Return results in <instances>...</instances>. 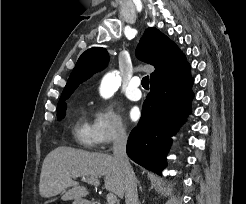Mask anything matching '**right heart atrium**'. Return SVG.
I'll return each instance as SVG.
<instances>
[{"label": "right heart atrium", "mask_w": 246, "mask_h": 204, "mask_svg": "<svg viewBox=\"0 0 246 204\" xmlns=\"http://www.w3.org/2000/svg\"><path fill=\"white\" fill-rule=\"evenodd\" d=\"M96 144L107 147L127 138L128 129L120 114L109 104L100 105L93 114Z\"/></svg>", "instance_id": "1"}]
</instances>
